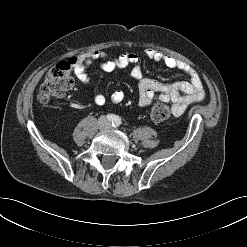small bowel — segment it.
Segmentation results:
<instances>
[{
    "label": "small bowel",
    "mask_w": 247,
    "mask_h": 247,
    "mask_svg": "<svg viewBox=\"0 0 247 247\" xmlns=\"http://www.w3.org/2000/svg\"><path fill=\"white\" fill-rule=\"evenodd\" d=\"M145 56L171 69L182 71L189 77L190 81L163 83L146 77L139 64V56L135 53H124L115 58H108L105 53L100 51L87 53L83 56V63L78 65L74 71L77 78L83 84L88 85L90 79L87 74V68L94 60H99L101 69L107 72L131 66V76L138 84L139 104L141 106H149L155 100L171 103L175 116L182 115L188 105L204 98L205 92L201 78L192 67L156 49H147ZM124 98L125 93L122 90H117L111 95V99L115 103L122 102ZM93 99L97 105H103L106 102V96L102 93L94 94Z\"/></svg>",
    "instance_id": "1"
}]
</instances>
